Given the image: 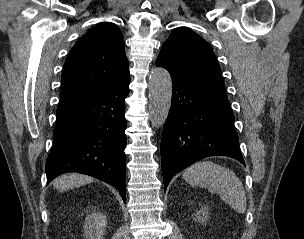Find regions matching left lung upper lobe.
Wrapping results in <instances>:
<instances>
[{
	"label": "left lung upper lobe",
	"mask_w": 304,
	"mask_h": 239,
	"mask_svg": "<svg viewBox=\"0 0 304 239\" xmlns=\"http://www.w3.org/2000/svg\"><path fill=\"white\" fill-rule=\"evenodd\" d=\"M156 64L171 76L228 100L221 69L211 46L195 32L179 27L163 44Z\"/></svg>",
	"instance_id": "5c2ea615"
}]
</instances>
